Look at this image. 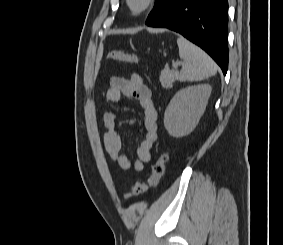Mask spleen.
<instances>
[{
  "label": "spleen",
  "mask_w": 283,
  "mask_h": 245,
  "mask_svg": "<svg viewBox=\"0 0 283 245\" xmlns=\"http://www.w3.org/2000/svg\"><path fill=\"white\" fill-rule=\"evenodd\" d=\"M179 56L184 63L179 74L181 81H201L216 74V63L198 46L178 37Z\"/></svg>",
  "instance_id": "spleen-1"
}]
</instances>
